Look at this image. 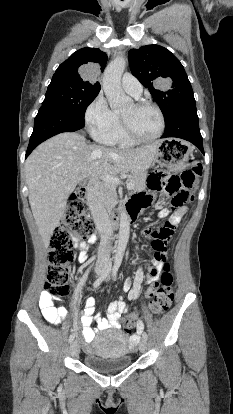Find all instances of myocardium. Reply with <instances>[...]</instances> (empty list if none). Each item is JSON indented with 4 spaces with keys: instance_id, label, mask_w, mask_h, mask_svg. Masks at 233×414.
I'll use <instances>...</instances> for the list:
<instances>
[{
    "instance_id": "1",
    "label": "myocardium",
    "mask_w": 233,
    "mask_h": 414,
    "mask_svg": "<svg viewBox=\"0 0 233 414\" xmlns=\"http://www.w3.org/2000/svg\"><path fill=\"white\" fill-rule=\"evenodd\" d=\"M134 106L136 108H139V109H142V108H153V109H155L157 111V113L159 114V117H160V120H161V127H160L159 132L155 136L149 137V138H144V137L140 136L139 134H137L135 132V130L133 129V127L131 126L130 122L125 117H123L121 115L120 116V121H121V125H122V128H123L125 134L130 139H132L133 141L138 142V143H149V142H153V141L159 139L163 135V133L165 131V128H166V119H165V115H164L162 109L157 104H155L153 102H150V101H138V102L134 103Z\"/></svg>"
}]
</instances>
